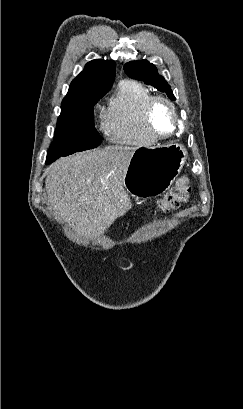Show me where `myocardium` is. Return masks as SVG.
I'll return each mask as SVG.
<instances>
[{
	"label": "myocardium",
	"mask_w": 243,
	"mask_h": 409,
	"mask_svg": "<svg viewBox=\"0 0 243 409\" xmlns=\"http://www.w3.org/2000/svg\"><path fill=\"white\" fill-rule=\"evenodd\" d=\"M158 103H164L165 105H167L173 115L174 118V128L171 132L167 133V134H160L158 133L152 124V115H153V111L155 106ZM143 120H144V124H145V128L148 131V133L151 135L152 138H154L155 140H162V139H167L172 137L176 131L178 130L179 124H180V118L178 115V112L173 104L172 101H170L169 99L163 97V96H151L147 102L145 103L144 106V110H143Z\"/></svg>",
	"instance_id": "obj_1"
}]
</instances>
